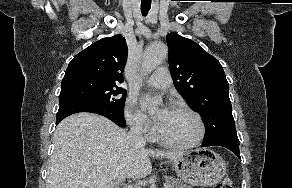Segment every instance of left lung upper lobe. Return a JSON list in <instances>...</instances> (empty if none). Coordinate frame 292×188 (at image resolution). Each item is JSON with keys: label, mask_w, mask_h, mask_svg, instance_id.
<instances>
[{"label": "left lung upper lobe", "mask_w": 292, "mask_h": 188, "mask_svg": "<svg viewBox=\"0 0 292 188\" xmlns=\"http://www.w3.org/2000/svg\"><path fill=\"white\" fill-rule=\"evenodd\" d=\"M167 44L175 88L201 115L205 139L236 130L229 84L219 61L194 41L174 32L167 35Z\"/></svg>", "instance_id": "obj_1"}]
</instances>
